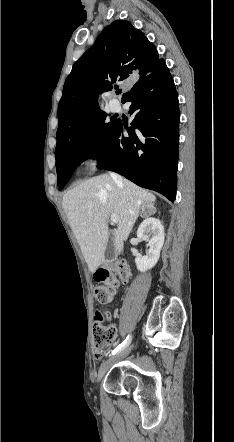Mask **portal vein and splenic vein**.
<instances>
[{
	"instance_id": "18ae733b",
	"label": "portal vein and splenic vein",
	"mask_w": 234,
	"mask_h": 442,
	"mask_svg": "<svg viewBox=\"0 0 234 442\" xmlns=\"http://www.w3.org/2000/svg\"><path fill=\"white\" fill-rule=\"evenodd\" d=\"M110 218H111V222H112L113 224H118V217H117V215L112 214V215L110 216Z\"/></svg>"
}]
</instances>
